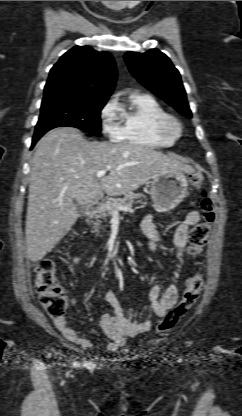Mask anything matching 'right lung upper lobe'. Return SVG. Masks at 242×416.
<instances>
[{"mask_svg":"<svg viewBox=\"0 0 242 416\" xmlns=\"http://www.w3.org/2000/svg\"><path fill=\"white\" fill-rule=\"evenodd\" d=\"M116 79L115 62L109 52L75 46L63 54L50 70L44 97L70 95L107 99Z\"/></svg>","mask_w":242,"mask_h":416,"instance_id":"right-lung-upper-lobe-1","label":"right lung upper lobe"}]
</instances>
